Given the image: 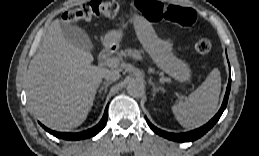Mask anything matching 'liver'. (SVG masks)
<instances>
[{
  "label": "liver",
  "instance_id": "liver-1",
  "mask_svg": "<svg viewBox=\"0 0 259 156\" xmlns=\"http://www.w3.org/2000/svg\"><path fill=\"white\" fill-rule=\"evenodd\" d=\"M92 61L65 39L59 19L50 24L27 71L29 108L45 126L66 131L86 120L108 70Z\"/></svg>",
  "mask_w": 259,
  "mask_h": 156
}]
</instances>
